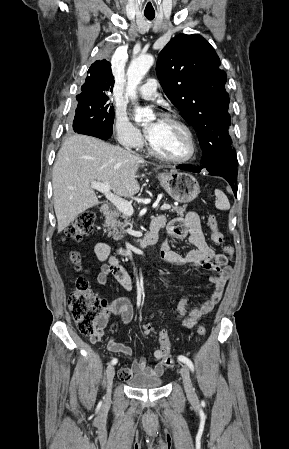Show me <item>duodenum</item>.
I'll list each match as a JSON object with an SVG mask.
<instances>
[{
  "label": "duodenum",
  "mask_w": 289,
  "mask_h": 449,
  "mask_svg": "<svg viewBox=\"0 0 289 449\" xmlns=\"http://www.w3.org/2000/svg\"><path fill=\"white\" fill-rule=\"evenodd\" d=\"M101 213L103 215H109L110 214V208L107 205H104L101 207ZM161 226L159 224H151L149 231L146 233V235L141 238L138 243L135 245L133 249H120V254L123 256H130L137 253V251H140L144 249L145 247L149 245H153L158 240V233Z\"/></svg>",
  "instance_id": "obj_1"
}]
</instances>
